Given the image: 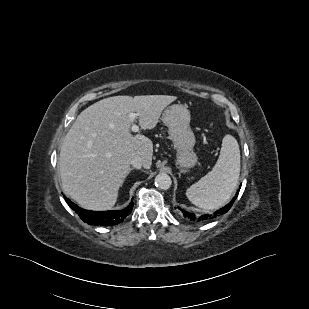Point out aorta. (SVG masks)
<instances>
[{
	"label": "aorta",
	"instance_id": "aorta-1",
	"mask_svg": "<svg viewBox=\"0 0 309 309\" xmlns=\"http://www.w3.org/2000/svg\"><path fill=\"white\" fill-rule=\"evenodd\" d=\"M171 184H172V180H171L170 176L166 173H160L155 177L156 187H158L162 190L169 189Z\"/></svg>",
	"mask_w": 309,
	"mask_h": 309
}]
</instances>
